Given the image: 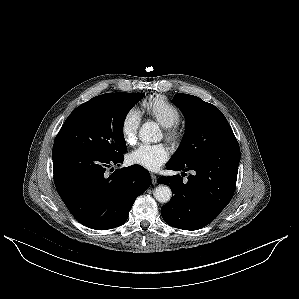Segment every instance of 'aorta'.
I'll list each match as a JSON object with an SVG mask.
<instances>
[{
	"label": "aorta",
	"mask_w": 299,
	"mask_h": 299,
	"mask_svg": "<svg viewBox=\"0 0 299 299\" xmlns=\"http://www.w3.org/2000/svg\"><path fill=\"white\" fill-rule=\"evenodd\" d=\"M161 132L155 122H145L139 130V137L143 142H157L161 139ZM172 196L171 189L166 185H159L154 190V197L160 203H167Z\"/></svg>",
	"instance_id": "aorta-1"
}]
</instances>
